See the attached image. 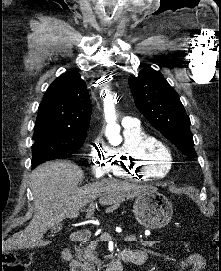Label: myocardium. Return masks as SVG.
Masks as SVG:
<instances>
[{"label":"myocardium","mask_w":221,"mask_h":271,"mask_svg":"<svg viewBox=\"0 0 221 271\" xmlns=\"http://www.w3.org/2000/svg\"><path fill=\"white\" fill-rule=\"evenodd\" d=\"M156 147H165V145H156ZM161 150H159L158 152H154V153H159ZM154 153H149L148 155H147V157H146V160L147 159H149L150 161H158L159 159L161 160V159H163L164 158V156H152ZM160 154V153H159ZM146 160H144L143 161V163H142V166H143V164L145 163V161ZM142 169V168H141Z\"/></svg>","instance_id":"obj_1"}]
</instances>
